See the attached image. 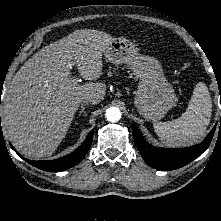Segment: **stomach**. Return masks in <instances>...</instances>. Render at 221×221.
<instances>
[{
  "instance_id": "stomach-1",
  "label": "stomach",
  "mask_w": 221,
  "mask_h": 221,
  "mask_svg": "<svg viewBox=\"0 0 221 221\" xmlns=\"http://www.w3.org/2000/svg\"><path fill=\"white\" fill-rule=\"evenodd\" d=\"M104 56L115 65L126 64L139 79L134 104L146 120L157 122L176 105V94L160 62L141 54L133 42L117 38L105 49Z\"/></svg>"
}]
</instances>
